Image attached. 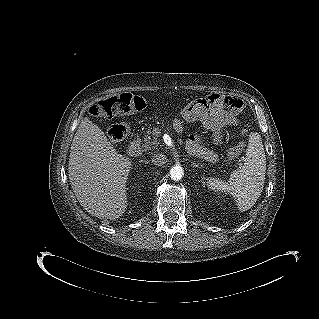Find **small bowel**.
<instances>
[{
	"mask_svg": "<svg viewBox=\"0 0 319 319\" xmlns=\"http://www.w3.org/2000/svg\"><path fill=\"white\" fill-rule=\"evenodd\" d=\"M238 117L235 111H226L221 107L209 110L208 118L205 122L206 127L212 131L216 144H221L224 138V129L230 126L238 125ZM174 127L177 131L182 130V124L179 120L174 121ZM187 149L190 153L202 156L210 160L215 159V155L198 143L197 136L189 137Z\"/></svg>",
	"mask_w": 319,
	"mask_h": 319,
	"instance_id": "small-bowel-1",
	"label": "small bowel"
}]
</instances>
